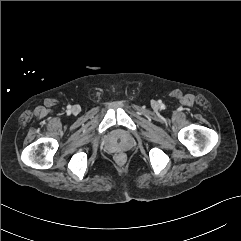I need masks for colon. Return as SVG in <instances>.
<instances>
[{
	"instance_id": "1",
	"label": "colon",
	"mask_w": 241,
	"mask_h": 241,
	"mask_svg": "<svg viewBox=\"0 0 241 241\" xmlns=\"http://www.w3.org/2000/svg\"><path fill=\"white\" fill-rule=\"evenodd\" d=\"M118 159H120V160L123 159V155H122V154H119V155H118Z\"/></svg>"
}]
</instances>
